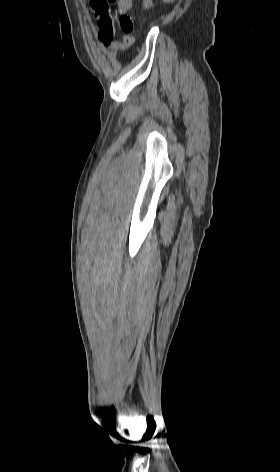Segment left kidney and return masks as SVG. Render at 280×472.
<instances>
[{
    "mask_svg": "<svg viewBox=\"0 0 280 472\" xmlns=\"http://www.w3.org/2000/svg\"><path fill=\"white\" fill-rule=\"evenodd\" d=\"M150 1L151 0H144L143 6L146 7V8L149 7L150 6ZM164 1H166V0H164Z\"/></svg>",
    "mask_w": 280,
    "mask_h": 472,
    "instance_id": "left-kidney-1",
    "label": "left kidney"
}]
</instances>
